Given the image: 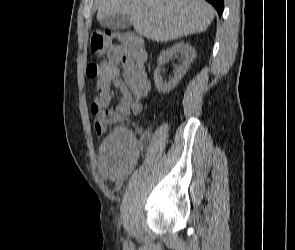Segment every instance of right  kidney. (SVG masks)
<instances>
[{"label": "right kidney", "instance_id": "1", "mask_svg": "<svg viewBox=\"0 0 295 250\" xmlns=\"http://www.w3.org/2000/svg\"><path fill=\"white\" fill-rule=\"evenodd\" d=\"M181 54L183 57V62L180 66L176 67L174 72V77H172L168 82L163 81L161 77V67L168 62L176 54ZM196 57L195 49L186 42H178L172 47L162 51L158 57L157 68L154 71V81L157 90L160 93H167L171 91L181 80V78L186 74L191 63Z\"/></svg>", "mask_w": 295, "mask_h": 250}]
</instances>
